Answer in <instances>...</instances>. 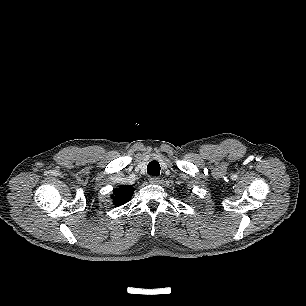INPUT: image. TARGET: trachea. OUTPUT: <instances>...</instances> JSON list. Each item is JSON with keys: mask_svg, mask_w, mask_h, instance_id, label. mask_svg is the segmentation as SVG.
Returning a JSON list of instances; mask_svg holds the SVG:
<instances>
[{"mask_svg": "<svg viewBox=\"0 0 306 306\" xmlns=\"http://www.w3.org/2000/svg\"><path fill=\"white\" fill-rule=\"evenodd\" d=\"M147 173L152 176H158L160 174V164L153 160L147 166Z\"/></svg>", "mask_w": 306, "mask_h": 306, "instance_id": "3493384b", "label": "trachea"}]
</instances>
